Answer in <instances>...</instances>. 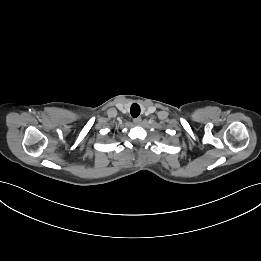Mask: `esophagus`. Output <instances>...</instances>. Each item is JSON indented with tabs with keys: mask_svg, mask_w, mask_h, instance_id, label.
Wrapping results in <instances>:
<instances>
[{
	"mask_svg": "<svg viewBox=\"0 0 261 261\" xmlns=\"http://www.w3.org/2000/svg\"><path fill=\"white\" fill-rule=\"evenodd\" d=\"M135 125H141L142 124V119L140 117H137L133 120Z\"/></svg>",
	"mask_w": 261,
	"mask_h": 261,
	"instance_id": "1",
	"label": "esophagus"
}]
</instances>
